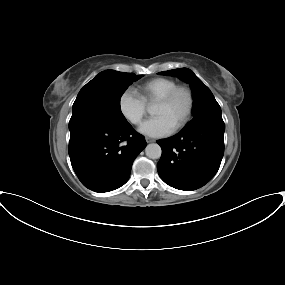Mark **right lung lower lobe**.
<instances>
[{"mask_svg": "<svg viewBox=\"0 0 285 285\" xmlns=\"http://www.w3.org/2000/svg\"><path fill=\"white\" fill-rule=\"evenodd\" d=\"M145 138L127 123L114 126L90 120L70 129L69 156L81 183L95 192L125 184Z\"/></svg>", "mask_w": 285, "mask_h": 285, "instance_id": "1", "label": "right lung lower lobe"}]
</instances>
